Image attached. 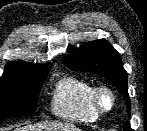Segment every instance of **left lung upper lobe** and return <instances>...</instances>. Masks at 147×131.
Instances as JSON below:
<instances>
[{
    "label": "left lung upper lobe",
    "instance_id": "left-lung-upper-lobe-1",
    "mask_svg": "<svg viewBox=\"0 0 147 131\" xmlns=\"http://www.w3.org/2000/svg\"><path fill=\"white\" fill-rule=\"evenodd\" d=\"M72 70L94 72L107 78L124 96L128 110L131 103L128 94L127 72L119 53L104 39L84 43L74 54L63 59ZM127 129L131 130L127 124Z\"/></svg>",
    "mask_w": 147,
    "mask_h": 131
}]
</instances>
